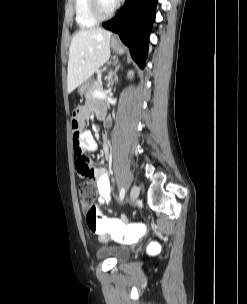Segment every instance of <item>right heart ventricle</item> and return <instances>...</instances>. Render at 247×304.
<instances>
[{"label": "right heart ventricle", "mask_w": 247, "mask_h": 304, "mask_svg": "<svg viewBox=\"0 0 247 304\" xmlns=\"http://www.w3.org/2000/svg\"><path fill=\"white\" fill-rule=\"evenodd\" d=\"M75 20L81 28H92L98 23L89 12L88 0H75Z\"/></svg>", "instance_id": "e07e8e85"}]
</instances>
